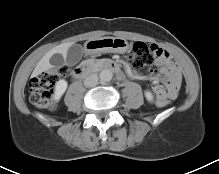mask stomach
<instances>
[{
    "label": "stomach",
    "instance_id": "stomach-1",
    "mask_svg": "<svg viewBox=\"0 0 219 174\" xmlns=\"http://www.w3.org/2000/svg\"><path fill=\"white\" fill-rule=\"evenodd\" d=\"M88 55L99 53H120L123 54L129 49V44L124 38L102 37L90 39L84 45Z\"/></svg>",
    "mask_w": 219,
    "mask_h": 174
}]
</instances>
